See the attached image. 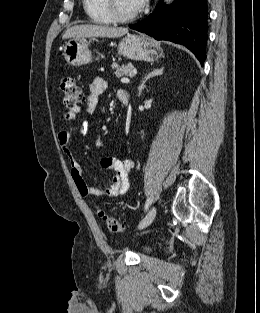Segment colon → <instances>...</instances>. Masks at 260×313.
Here are the masks:
<instances>
[{"label":"colon","mask_w":260,"mask_h":313,"mask_svg":"<svg viewBox=\"0 0 260 313\" xmlns=\"http://www.w3.org/2000/svg\"><path fill=\"white\" fill-rule=\"evenodd\" d=\"M60 89L63 103L67 108L74 109L77 108L80 103H82L84 99L83 90L74 77L70 75L63 76L60 81ZM98 215L110 231H123L124 224L109 215L106 211L98 209Z\"/></svg>","instance_id":"5ec220e1"}]
</instances>
